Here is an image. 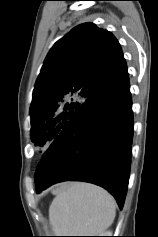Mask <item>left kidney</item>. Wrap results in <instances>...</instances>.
Masks as SVG:
<instances>
[{
    "label": "left kidney",
    "instance_id": "1",
    "mask_svg": "<svg viewBox=\"0 0 158 237\" xmlns=\"http://www.w3.org/2000/svg\"><path fill=\"white\" fill-rule=\"evenodd\" d=\"M105 234H101V236H112V232L108 231V232H104Z\"/></svg>",
    "mask_w": 158,
    "mask_h": 237
}]
</instances>
